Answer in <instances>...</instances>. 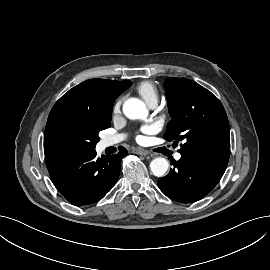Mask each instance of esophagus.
<instances>
[{"instance_id": "34e87169", "label": "esophagus", "mask_w": 270, "mask_h": 270, "mask_svg": "<svg viewBox=\"0 0 270 270\" xmlns=\"http://www.w3.org/2000/svg\"><path fill=\"white\" fill-rule=\"evenodd\" d=\"M135 154L142 155V156H149L150 152L145 149H136L134 150Z\"/></svg>"}]
</instances>
